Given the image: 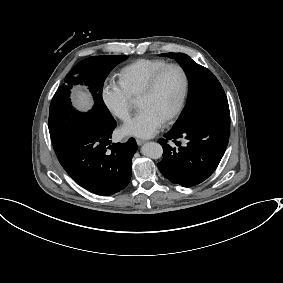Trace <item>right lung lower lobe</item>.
Instances as JSON below:
<instances>
[{"label":"right lung lower lobe","instance_id":"obj_1","mask_svg":"<svg viewBox=\"0 0 283 283\" xmlns=\"http://www.w3.org/2000/svg\"><path fill=\"white\" fill-rule=\"evenodd\" d=\"M116 121H90L58 160L71 178L86 190L112 195L124 189L131 179V161L137 150L134 138L111 144Z\"/></svg>","mask_w":283,"mask_h":283}]
</instances>
